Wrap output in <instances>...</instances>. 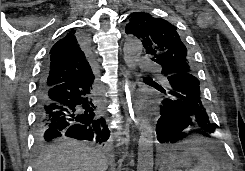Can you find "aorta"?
<instances>
[{
  "label": "aorta",
  "instance_id": "aorta-1",
  "mask_svg": "<svg viewBox=\"0 0 245 171\" xmlns=\"http://www.w3.org/2000/svg\"><path fill=\"white\" fill-rule=\"evenodd\" d=\"M142 49V43L138 39L125 42L123 48L124 61L129 69H135ZM153 163V130L150 121L144 118L140 124L137 171H153Z\"/></svg>",
  "mask_w": 245,
  "mask_h": 171
}]
</instances>
